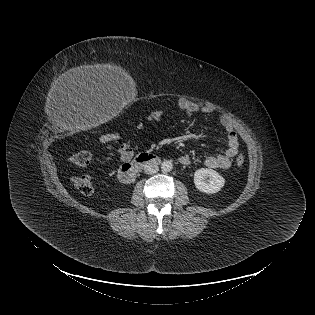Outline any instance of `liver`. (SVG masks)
<instances>
[{
	"label": "liver",
	"instance_id": "1",
	"mask_svg": "<svg viewBox=\"0 0 315 315\" xmlns=\"http://www.w3.org/2000/svg\"><path fill=\"white\" fill-rule=\"evenodd\" d=\"M62 83L69 85L86 83H125L131 82V76L122 67L110 64L83 65L68 70L61 76Z\"/></svg>",
	"mask_w": 315,
	"mask_h": 315
}]
</instances>
